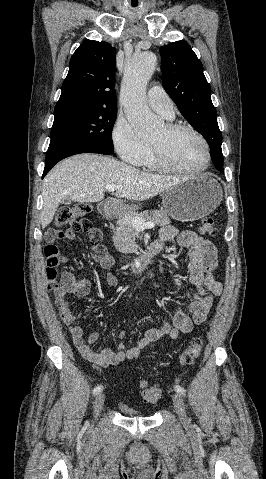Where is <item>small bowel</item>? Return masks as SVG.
Returning a JSON list of instances; mask_svg holds the SVG:
<instances>
[{
  "label": "small bowel",
  "instance_id": "1",
  "mask_svg": "<svg viewBox=\"0 0 266 479\" xmlns=\"http://www.w3.org/2000/svg\"><path fill=\"white\" fill-rule=\"evenodd\" d=\"M58 237L67 241H73L75 234L69 230L59 231ZM174 240L180 247L191 251L189 261V282L194 286V293L186 303V311H176L170 314L158 328L149 329L137 342L136 346L126 348L124 344H118L116 352L105 348L96 350L93 344L98 340L99 334L93 332L86 334L83 327L77 322L82 318L80 313L73 311L69 295L87 298L91 292V284L88 279L77 278L71 272L64 271L58 282L52 285L54 305L62 322L68 327L72 341L86 360L100 367L115 366L125 361H137L141 357L142 350L151 343L170 337L176 340L181 334L189 333L195 326L205 322L214 297L222 293L223 286L215 278V270L218 265L217 250L213 243L199 236L193 231L178 232L173 226H164L159 232L157 241L161 247ZM97 249L98 254L93 255L94 262L104 269L114 265V258L106 254L105 249L92 244V250ZM109 287H116L119 278L114 273H108L105 277ZM124 331L120 332V337Z\"/></svg>",
  "mask_w": 266,
  "mask_h": 479
}]
</instances>
